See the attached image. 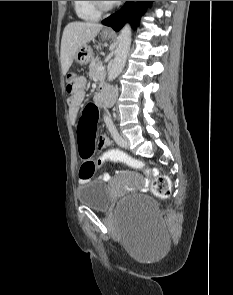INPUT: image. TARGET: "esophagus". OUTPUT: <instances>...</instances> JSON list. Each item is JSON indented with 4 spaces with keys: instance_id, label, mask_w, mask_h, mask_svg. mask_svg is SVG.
Masks as SVG:
<instances>
[{
    "instance_id": "1",
    "label": "esophagus",
    "mask_w": 233,
    "mask_h": 295,
    "mask_svg": "<svg viewBox=\"0 0 233 295\" xmlns=\"http://www.w3.org/2000/svg\"><path fill=\"white\" fill-rule=\"evenodd\" d=\"M105 30H106L107 32H112V31H113V29L110 28V27H107Z\"/></svg>"
}]
</instances>
